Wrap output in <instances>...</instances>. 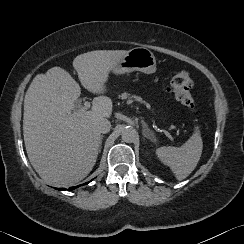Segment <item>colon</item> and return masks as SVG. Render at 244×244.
Wrapping results in <instances>:
<instances>
[{
	"instance_id": "5ec220e1",
	"label": "colon",
	"mask_w": 244,
	"mask_h": 244,
	"mask_svg": "<svg viewBox=\"0 0 244 244\" xmlns=\"http://www.w3.org/2000/svg\"><path fill=\"white\" fill-rule=\"evenodd\" d=\"M194 82L187 72H179L170 81L169 89L180 105L192 112L196 111V102L190 93Z\"/></svg>"
}]
</instances>
